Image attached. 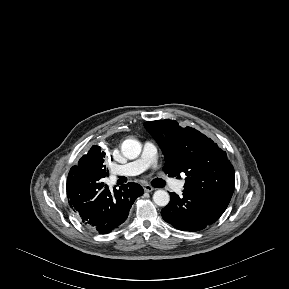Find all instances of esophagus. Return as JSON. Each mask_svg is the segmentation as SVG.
<instances>
[{"instance_id": "1", "label": "esophagus", "mask_w": 289, "mask_h": 289, "mask_svg": "<svg viewBox=\"0 0 289 289\" xmlns=\"http://www.w3.org/2000/svg\"><path fill=\"white\" fill-rule=\"evenodd\" d=\"M143 189L146 191V192H152L154 189V187H152L151 185H148V184H144L143 185Z\"/></svg>"}]
</instances>
